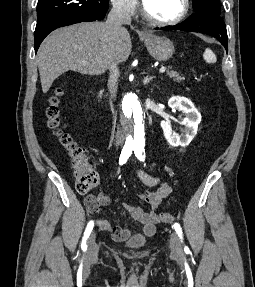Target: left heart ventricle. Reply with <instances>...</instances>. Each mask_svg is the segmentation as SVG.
Wrapping results in <instances>:
<instances>
[{
  "label": "left heart ventricle",
  "mask_w": 255,
  "mask_h": 287,
  "mask_svg": "<svg viewBox=\"0 0 255 287\" xmlns=\"http://www.w3.org/2000/svg\"><path fill=\"white\" fill-rule=\"evenodd\" d=\"M121 33H127V32H121ZM149 33H169V32H149ZM120 39H128V38H120ZM151 39H166V38H151ZM150 48H164V47H150Z\"/></svg>",
  "instance_id": "1"
}]
</instances>
